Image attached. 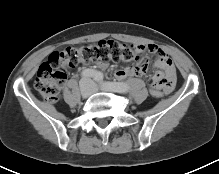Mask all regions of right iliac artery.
I'll return each instance as SVG.
<instances>
[{
	"label": "right iliac artery",
	"mask_w": 219,
	"mask_h": 174,
	"mask_svg": "<svg viewBox=\"0 0 219 174\" xmlns=\"http://www.w3.org/2000/svg\"><path fill=\"white\" fill-rule=\"evenodd\" d=\"M96 74V71L93 69H86L81 73V76L84 78H88V77H94Z\"/></svg>",
	"instance_id": "1"
}]
</instances>
